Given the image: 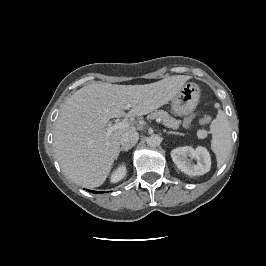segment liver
<instances>
[{
    "instance_id": "6515ba94",
    "label": "liver",
    "mask_w": 266,
    "mask_h": 266,
    "mask_svg": "<svg viewBox=\"0 0 266 266\" xmlns=\"http://www.w3.org/2000/svg\"><path fill=\"white\" fill-rule=\"evenodd\" d=\"M189 76H170L144 85L93 83L76 91L56 120L54 153L64 174L83 187H99L118 158L120 139L129 126L106 135L111 118L146 115L168 103ZM131 110L124 113L125 106Z\"/></svg>"
}]
</instances>
